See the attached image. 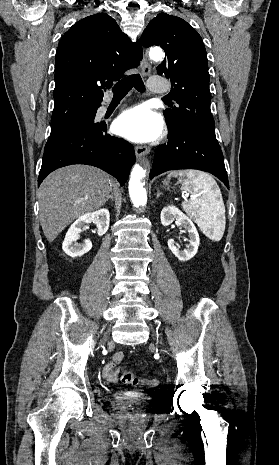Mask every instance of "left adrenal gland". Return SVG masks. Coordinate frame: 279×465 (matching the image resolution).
<instances>
[{
  "label": "left adrenal gland",
  "mask_w": 279,
  "mask_h": 465,
  "mask_svg": "<svg viewBox=\"0 0 279 465\" xmlns=\"http://www.w3.org/2000/svg\"><path fill=\"white\" fill-rule=\"evenodd\" d=\"M160 195H163V194H162L159 190H157V196H156V198H159Z\"/></svg>",
  "instance_id": "left-adrenal-gland-1"
}]
</instances>
